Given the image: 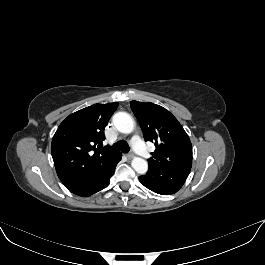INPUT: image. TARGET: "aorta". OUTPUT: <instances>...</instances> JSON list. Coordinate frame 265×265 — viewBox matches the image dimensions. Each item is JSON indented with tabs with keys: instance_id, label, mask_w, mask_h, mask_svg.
<instances>
[{
	"instance_id": "aorta-1",
	"label": "aorta",
	"mask_w": 265,
	"mask_h": 265,
	"mask_svg": "<svg viewBox=\"0 0 265 265\" xmlns=\"http://www.w3.org/2000/svg\"><path fill=\"white\" fill-rule=\"evenodd\" d=\"M113 125L121 133L129 134L134 130L133 118L126 112H118L113 116ZM131 165L138 174H145L148 170V163L140 157H135Z\"/></svg>"
}]
</instances>
